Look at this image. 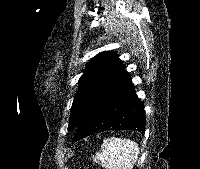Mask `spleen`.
Here are the masks:
<instances>
[{"label":"spleen","mask_w":200,"mask_h":169,"mask_svg":"<svg viewBox=\"0 0 200 169\" xmlns=\"http://www.w3.org/2000/svg\"><path fill=\"white\" fill-rule=\"evenodd\" d=\"M139 155L136 142L126 138L105 139L94 160H99L105 169H133Z\"/></svg>","instance_id":"spleen-1"}]
</instances>
